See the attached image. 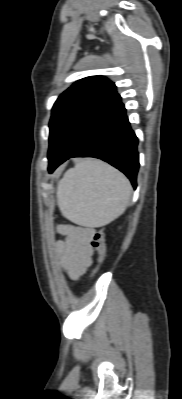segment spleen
I'll use <instances>...</instances> for the list:
<instances>
[{
  "mask_svg": "<svg viewBox=\"0 0 182 399\" xmlns=\"http://www.w3.org/2000/svg\"><path fill=\"white\" fill-rule=\"evenodd\" d=\"M128 179L100 160H81L59 181L57 203L71 222L89 227L103 226L120 216L131 199Z\"/></svg>",
  "mask_w": 182,
  "mask_h": 399,
  "instance_id": "obj_1",
  "label": "spleen"
}]
</instances>
